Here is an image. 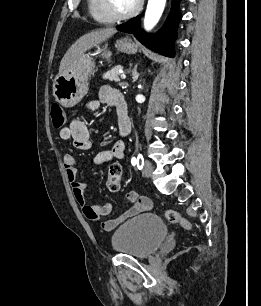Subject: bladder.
<instances>
[{
    "label": "bladder",
    "mask_w": 261,
    "mask_h": 306,
    "mask_svg": "<svg viewBox=\"0 0 261 306\" xmlns=\"http://www.w3.org/2000/svg\"><path fill=\"white\" fill-rule=\"evenodd\" d=\"M168 228L157 215L146 213L136 216L113 233L114 251L135 258H146L155 253L165 240Z\"/></svg>",
    "instance_id": "31cf9c89"
}]
</instances>
